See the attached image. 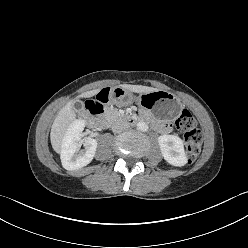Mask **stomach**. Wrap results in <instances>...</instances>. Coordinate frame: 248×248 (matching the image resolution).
<instances>
[{
    "mask_svg": "<svg viewBox=\"0 0 248 248\" xmlns=\"http://www.w3.org/2000/svg\"><path fill=\"white\" fill-rule=\"evenodd\" d=\"M115 98L119 105H128L134 100L131 91L123 87H118L115 90ZM137 103L161 120H172L181 111L180 100L173 94L163 90L144 93L138 96Z\"/></svg>",
    "mask_w": 248,
    "mask_h": 248,
    "instance_id": "0dacf381",
    "label": "stomach"
}]
</instances>
